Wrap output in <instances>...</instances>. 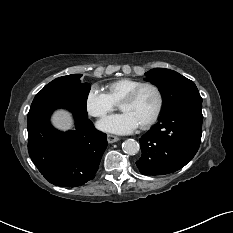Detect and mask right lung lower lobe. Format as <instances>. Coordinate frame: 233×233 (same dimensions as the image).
Listing matches in <instances>:
<instances>
[{
	"instance_id": "right-lung-lower-lobe-1",
	"label": "right lung lower lobe",
	"mask_w": 233,
	"mask_h": 233,
	"mask_svg": "<svg viewBox=\"0 0 233 233\" xmlns=\"http://www.w3.org/2000/svg\"><path fill=\"white\" fill-rule=\"evenodd\" d=\"M56 108L75 117V130L60 132L49 118ZM28 152L44 178L61 187H76L94 178L107 147L106 134L96 130L86 110L49 101L30 108L27 116Z\"/></svg>"
}]
</instances>
